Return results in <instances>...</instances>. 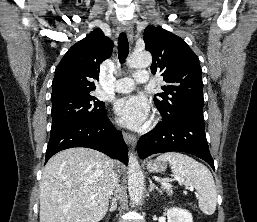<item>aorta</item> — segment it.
Returning a JSON list of instances; mask_svg holds the SVG:
<instances>
[{"mask_svg": "<svg viewBox=\"0 0 257 222\" xmlns=\"http://www.w3.org/2000/svg\"><path fill=\"white\" fill-rule=\"evenodd\" d=\"M152 63V56L148 51H135L128 60L132 68H146ZM128 190L131 201L138 204L142 198L144 176L136 156L129 154Z\"/></svg>", "mask_w": 257, "mask_h": 222, "instance_id": "762f6f07", "label": "aorta"}]
</instances>
